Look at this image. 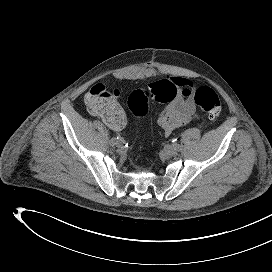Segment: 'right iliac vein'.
<instances>
[{"instance_id": "1", "label": "right iliac vein", "mask_w": 272, "mask_h": 272, "mask_svg": "<svg viewBox=\"0 0 272 272\" xmlns=\"http://www.w3.org/2000/svg\"><path fill=\"white\" fill-rule=\"evenodd\" d=\"M123 141H118V140H115V143H114V145H116L117 147H121L122 145H123Z\"/></svg>"}]
</instances>
